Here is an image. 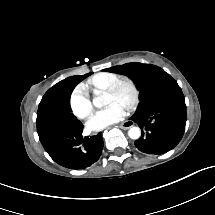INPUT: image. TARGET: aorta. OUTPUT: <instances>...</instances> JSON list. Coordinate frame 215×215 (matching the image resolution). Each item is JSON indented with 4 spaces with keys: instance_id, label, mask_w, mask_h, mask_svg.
<instances>
[{
    "instance_id": "obj_1",
    "label": "aorta",
    "mask_w": 215,
    "mask_h": 215,
    "mask_svg": "<svg viewBox=\"0 0 215 215\" xmlns=\"http://www.w3.org/2000/svg\"><path fill=\"white\" fill-rule=\"evenodd\" d=\"M93 103L96 107H102L103 105L109 103V99L106 97L104 93H101L100 96H98ZM128 136L131 139H138L141 136V131L138 127H131L128 130Z\"/></svg>"
}]
</instances>
